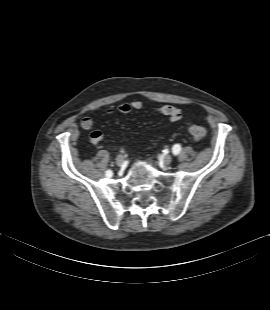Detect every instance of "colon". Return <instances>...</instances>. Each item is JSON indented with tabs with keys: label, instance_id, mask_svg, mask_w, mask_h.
Instances as JSON below:
<instances>
[{
	"label": "colon",
	"instance_id": "1",
	"mask_svg": "<svg viewBox=\"0 0 270 310\" xmlns=\"http://www.w3.org/2000/svg\"><path fill=\"white\" fill-rule=\"evenodd\" d=\"M188 131L195 140L203 139L207 132L206 128L203 125L197 123L189 124Z\"/></svg>",
	"mask_w": 270,
	"mask_h": 310
}]
</instances>
